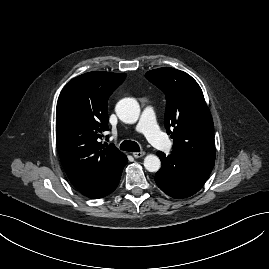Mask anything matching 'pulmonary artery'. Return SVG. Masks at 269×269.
<instances>
[{
  "mask_svg": "<svg viewBox=\"0 0 269 269\" xmlns=\"http://www.w3.org/2000/svg\"><path fill=\"white\" fill-rule=\"evenodd\" d=\"M135 129L156 148L161 150L172 148V142L167 139L156 123L155 111L152 107L144 108Z\"/></svg>",
  "mask_w": 269,
  "mask_h": 269,
  "instance_id": "pulmonary-artery-1",
  "label": "pulmonary artery"
}]
</instances>
